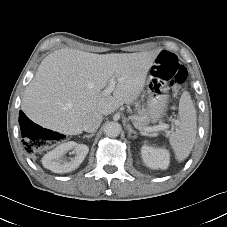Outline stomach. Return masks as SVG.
I'll return each mask as SVG.
<instances>
[{"instance_id": "obj_1", "label": "stomach", "mask_w": 227, "mask_h": 227, "mask_svg": "<svg viewBox=\"0 0 227 227\" xmlns=\"http://www.w3.org/2000/svg\"><path fill=\"white\" fill-rule=\"evenodd\" d=\"M168 86L158 77L150 76L146 83L147 120L152 123L160 121L168 108Z\"/></svg>"}]
</instances>
